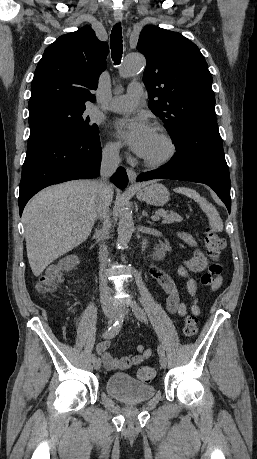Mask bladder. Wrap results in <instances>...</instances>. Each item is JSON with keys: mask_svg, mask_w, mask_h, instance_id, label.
<instances>
[{"mask_svg": "<svg viewBox=\"0 0 257 459\" xmlns=\"http://www.w3.org/2000/svg\"><path fill=\"white\" fill-rule=\"evenodd\" d=\"M109 396L124 403H144L156 393L153 385L138 381L128 373H114L106 381Z\"/></svg>", "mask_w": 257, "mask_h": 459, "instance_id": "1", "label": "bladder"}]
</instances>
